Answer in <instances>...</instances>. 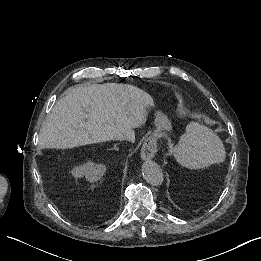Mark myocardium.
<instances>
[{
  "label": "myocardium",
  "mask_w": 261,
  "mask_h": 261,
  "mask_svg": "<svg viewBox=\"0 0 261 261\" xmlns=\"http://www.w3.org/2000/svg\"><path fill=\"white\" fill-rule=\"evenodd\" d=\"M181 134L182 123L178 119H173L170 125L161 132L151 129L148 133V140L158 142V151L172 152L178 147Z\"/></svg>",
  "instance_id": "f54148a6"
}]
</instances>
